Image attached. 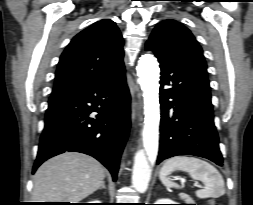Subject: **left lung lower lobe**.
Listing matches in <instances>:
<instances>
[{
    "mask_svg": "<svg viewBox=\"0 0 253 205\" xmlns=\"http://www.w3.org/2000/svg\"><path fill=\"white\" fill-rule=\"evenodd\" d=\"M161 68L160 148L157 164L177 155H195L222 166L210 85L195 67L153 45Z\"/></svg>",
    "mask_w": 253,
    "mask_h": 205,
    "instance_id": "obj_1",
    "label": "left lung lower lobe"
}]
</instances>
